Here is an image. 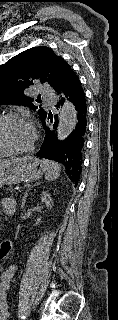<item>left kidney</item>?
Returning <instances> with one entry per match:
<instances>
[{"label":"left kidney","instance_id":"left-kidney-1","mask_svg":"<svg viewBox=\"0 0 118 320\" xmlns=\"http://www.w3.org/2000/svg\"><path fill=\"white\" fill-rule=\"evenodd\" d=\"M41 201H42V203H45L47 207H50V209L52 208L53 201L51 199V195L48 192H46V191L42 192Z\"/></svg>","mask_w":118,"mask_h":320}]
</instances>
